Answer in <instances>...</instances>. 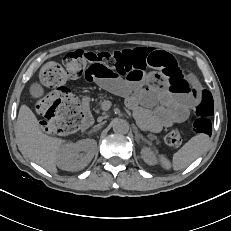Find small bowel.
Masks as SVG:
<instances>
[{
	"mask_svg": "<svg viewBox=\"0 0 231 231\" xmlns=\"http://www.w3.org/2000/svg\"><path fill=\"white\" fill-rule=\"evenodd\" d=\"M152 70L139 71L123 79L114 69L91 65L84 78L110 93L125 97L127 106L144 127L160 131L187 120L194 101L188 94L171 91L165 76L156 69ZM192 81L196 83L194 79Z\"/></svg>",
	"mask_w": 231,
	"mask_h": 231,
	"instance_id": "obj_1",
	"label": "small bowel"
}]
</instances>
